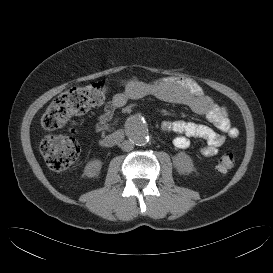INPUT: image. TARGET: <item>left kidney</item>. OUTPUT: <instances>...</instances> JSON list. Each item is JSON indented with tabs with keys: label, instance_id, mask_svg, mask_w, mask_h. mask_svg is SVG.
Returning <instances> with one entry per match:
<instances>
[{
	"label": "left kidney",
	"instance_id": "5707ae66",
	"mask_svg": "<svg viewBox=\"0 0 273 273\" xmlns=\"http://www.w3.org/2000/svg\"><path fill=\"white\" fill-rule=\"evenodd\" d=\"M173 163L177 171L186 174L194 170L193 161L185 152H179L173 157Z\"/></svg>",
	"mask_w": 273,
	"mask_h": 273
}]
</instances>
